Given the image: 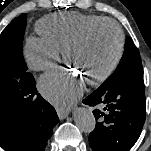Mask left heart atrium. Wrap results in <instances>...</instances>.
I'll list each match as a JSON object with an SVG mask.
<instances>
[{
  "instance_id": "1",
  "label": "left heart atrium",
  "mask_w": 151,
  "mask_h": 151,
  "mask_svg": "<svg viewBox=\"0 0 151 151\" xmlns=\"http://www.w3.org/2000/svg\"><path fill=\"white\" fill-rule=\"evenodd\" d=\"M85 80L71 69L59 68L43 75L39 88L43 96L58 108L72 105L83 93Z\"/></svg>"
}]
</instances>
